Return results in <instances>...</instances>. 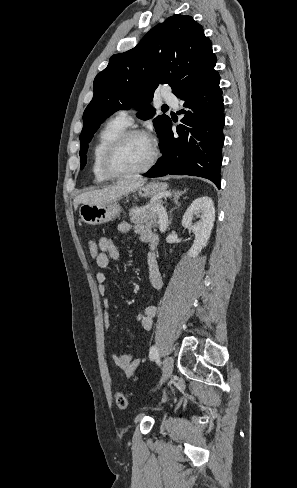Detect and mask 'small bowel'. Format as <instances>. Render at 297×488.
<instances>
[{
	"mask_svg": "<svg viewBox=\"0 0 297 488\" xmlns=\"http://www.w3.org/2000/svg\"><path fill=\"white\" fill-rule=\"evenodd\" d=\"M118 230L121 233H128L133 230L139 240L148 244L149 252L147 256L148 273L151 284L154 288L160 289L163 286L162 268L159 266L156 256V246L158 243V237L149 228L143 225L132 226L128 222H121L118 225ZM99 254L95 259L97 266L101 269L96 273V281L98 284L99 293L103 296L104 304V322L106 327L110 325L111 320V306L107 294V276L103 271L108 268L110 260H118L120 252L114 241L109 237H101L98 240ZM157 314V307L155 305L146 306L137 316V322L140 327L146 331H149L153 327V320ZM127 351L119 354L115 351H111L110 356L117 368L121 370L123 375L128 379H136L141 367V359L135 357L130 352V345H127Z\"/></svg>",
	"mask_w": 297,
	"mask_h": 488,
	"instance_id": "obj_1",
	"label": "small bowel"
}]
</instances>
